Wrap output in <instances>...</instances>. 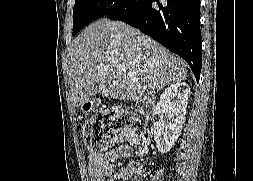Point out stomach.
<instances>
[{
    "instance_id": "0dacf381",
    "label": "stomach",
    "mask_w": 253,
    "mask_h": 181,
    "mask_svg": "<svg viewBox=\"0 0 253 181\" xmlns=\"http://www.w3.org/2000/svg\"><path fill=\"white\" fill-rule=\"evenodd\" d=\"M99 100L95 98H91L84 102L81 106L80 109L84 114H89L91 111L95 109V107L98 105Z\"/></svg>"
}]
</instances>
